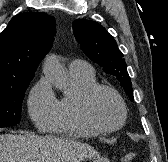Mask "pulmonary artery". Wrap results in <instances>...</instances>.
<instances>
[{
	"mask_svg": "<svg viewBox=\"0 0 168 162\" xmlns=\"http://www.w3.org/2000/svg\"><path fill=\"white\" fill-rule=\"evenodd\" d=\"M69 72L75 74H92L93 68L83 60H73L69 63Z\"/></svg>",
	"mask_w": 168,
	"mask_h": 162,
	"instance_id": "1",
	"label": "pulmonary artery"
}]
</instances>
